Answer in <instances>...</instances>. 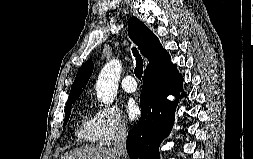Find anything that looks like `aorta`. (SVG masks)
<instances>
[{"label": "aorta", "instance_id": "aorta-1", "mask_svg": "<svg viewBox=\"0 0 253 159\" xmlns=\"http://www.w3.org/2000/svg\"><path fill=\"white\" fill-rule=\"evenodd\" d=\"M121 74V63L118 59L110 60L103 67L96 82L97 98L104 104H111L118 90Z\"/></svg>", "mask_w": 253, "mask_h": 159}]
</instances>
